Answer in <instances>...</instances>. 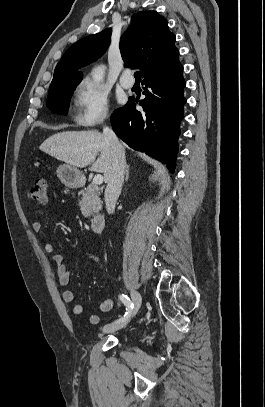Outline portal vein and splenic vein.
I'll list each match as a JSON object with an SVG mask.
<instances>
[{
	"label": "portal vein and splenic vein",
	"mask_w": 265,
	"mask_h": 407,
	"mask_svg": "<svg viewBox=\"0 0 265 407\" xmlns=\"http://www.w3.org/2000/svg\"><path fill=\"white\" fill-rule=\"evenodd\" d=\"M93 183L96 185H100L103 183V176L101 174H96L93 178Z\"/></svg>",
	"instance_id": "18ae733b"
}]
</instances>
